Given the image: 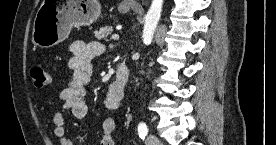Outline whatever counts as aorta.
<instances>
[{
  "label": "aorta",
  "mask_w": 276,
  "mask_h": 145,
  "mask_svg": "<svg viewBox=\"0 0 276 145\" xmlns=\"http://www.w3.org/2000/svg\"><path fill=\"white\" fill-rule=\"evenodd\" d=\"M163 0H152L151 6L145 16L143 29V42L150 44L153 40L154 32L161 17Z\"/></svg>",
  "instance_id": "762f6f07"
}]
</instances>
